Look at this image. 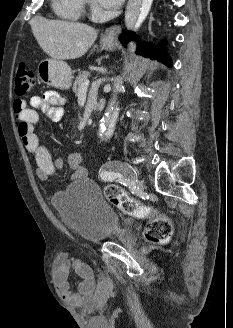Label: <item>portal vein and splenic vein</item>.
<instances>
[{
    "label": "portal vein and splenic vein",
    "mask_w": 233,
    "mask_h": 328,
    "mask_svg": "<svg viewBox=\"0 0 233 328\" xmlns=\"http://www.w3.org/2000/svg\"><path fill=\"white\" fill-rule=\"evenodd\" d=\"M89 80L88 79H86L83 83H82V85H81V88H80V90H82V91H86L87 90V88H88V86H89Z\"/></svg>",
    "instance_id": "portal-vein-and-splenic-vein-1"
}]
</instances>
